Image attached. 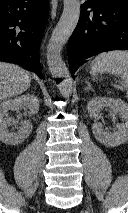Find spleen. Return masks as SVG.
I'll return each instance as SVG.
<instances>
[{"mask_svg":"<svg viewBox=\"0 0 128 213\" xmlns=\"http://www.w3.org/2000/svg\"><path fill=\"white\" fill-rule=\"evenodd\" d=\"M109 73L119 76L128 86V51H110L99 54L92 62L90 74Z\"/></svg>","mask_w":128,"mask_h":213,"instance_id":"spleen-1","label":"spleen"}]
</instances>
